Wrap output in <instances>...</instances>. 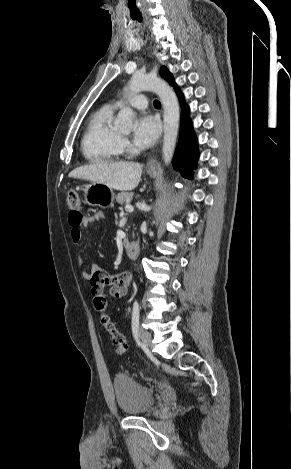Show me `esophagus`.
Wrapping results in <instances>:
<instances>
[{
	"instance_id": "esophagus-1",
	"label": "esophagus",
	"mask_w": 291,
	"mask_h": 469,
	"mask_svg": "<svg viewBox=\"0 0 291 469\" xmlns=\"http://www.w3.org/2000/svg\"><path fill=\"white\" fill-rule=\"evenodd\" d=\"M157 166H158V161L155 157H152L151 159H149L146 165L148 169H153V168H156Z\"/></svg>"
}]
</instances>
